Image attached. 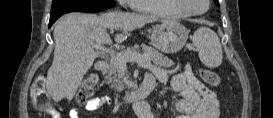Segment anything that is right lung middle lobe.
I'll return each mask as SVG.
<instances>
[{
  "instance_id": "right-lung-middle-lobe-1",
  "label": "right lung middle lobe",
  "mask_w": 273,
  "mask_h": 118,
  "mask_svg": "<svg viewBox=\"0 0 273 118\" xmlns=\"http://www.w3.org/2000/svg\"><path fill=\"white\" fill-rule=\"evenodd\" d=\"M61 3L101 11L115 5L114 0H53L52 5H59Z\"/></svg>"
}]
</instances>
